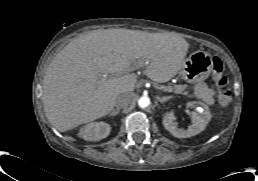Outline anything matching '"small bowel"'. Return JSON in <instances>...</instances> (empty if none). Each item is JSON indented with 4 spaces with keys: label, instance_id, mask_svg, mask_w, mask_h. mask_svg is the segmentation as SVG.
<instances>
[{
    "label": "small bowel",
    "instance_id": "c3829d8e",
    "mask_svg": "<svg viewBox=\"0 0 258 181\" xmlns=\"http://www.w3.org/2000/svg\"><path fill=\"white\" fill-rule=\"evenodd\" d=\"M193 95L196 98H199L208 104H213L214 102L213 91L204 83L197 84L196 86H194Z\"/></svg>",
    "mask_w": 258,
    "mask_h": 181
}]
</instances>
